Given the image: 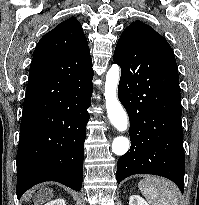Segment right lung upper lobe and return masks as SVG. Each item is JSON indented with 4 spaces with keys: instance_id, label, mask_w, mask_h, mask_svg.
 I'll return each mask as SVG.
<instances>
[{
    "instance_id": "obj_1",
    "label": "right lung upper lobe",
    "mask_w": 199,
    "mask_h": 205,
    "mask_svg": "<svg viewBox=\"0 0 199 205\" xmlns=\"http://www.w3.org/2000/svg\"><path fill=\"white\" fill-rule=\"evenodd\" d=\"M86 37L76 18H69L46 33L38 42L29 69V83L48 85L45 91L25 97L23 112L62 95L70 82L93 75Z\"/></svg>"
}]
</instances>
